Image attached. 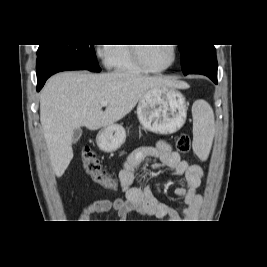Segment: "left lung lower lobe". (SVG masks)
<instances>
[{
	"label": "left lung lower lobe",
	"mask_w": 267,
	"mask_h": 267,
	"mask_svg": "<svg viewBox=\"0 0 267 267\" xmlns=\"http://www.w3.org/2000/svg\"><path fill=\"white\" fill-rule=\"evenodd\" d=\"M187 74L206 75L215 84H217V58L216 56L208 57V58L201 60Z\"/></svg>",
	"instance_id": "1"
}]
</instances>
